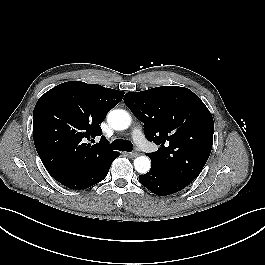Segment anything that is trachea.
<instances>
[{"label":"trachea","instance_id":"trachea-1","mask_svg":"<svg viewBox=\"0 0 265 265\" xmlns=\"http://www.w3.org/2000/svg\"><path fill=\"white\" fill-rule=\"evenodd\" d=\"M110 148L113 150H122L127 152H131L133 150L132 143L128 140H123V139L114 140L111 143Z\"/></svg>","mask_w":265,"mask_h":265}]
</instances>
